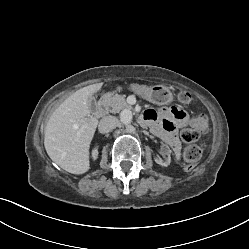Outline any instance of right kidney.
Returning <instances> with one entry per match:
<instances>
[{
	"label": "right kidney",
	"mask_w": 249,
	"mask_h": 249,
	"mask_svg": "<svg viewBox=\"0 0 249 249\" xmlns=\"http://www.w3.org/2000/svg\"><path fill=\"white\" fill-rule=\"evenodd\" d=\"M88 149H89L90 152H92V157L94 159H96L98 157V151H97L96 146L92 144V145L89 146Z\"/></svg>",
	"instance_id": "ca27d5eb"
}]
</instances>
